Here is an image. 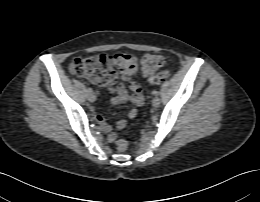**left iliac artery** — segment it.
<instances>
[{"instance_id":"obj_1","label":"left iliac artery","mask_w":260,"mask_h":202,"mask_svg":"<svg viewBox=\"0 0 260 202\" xmlns=\"http://www.w3.org/2000/svg\"><path fill=\"white\" fill-rule=\"evenodd\" d=\"M153 94H154L155 96H158V95H159V91L155 90V91H153Z\"/></svg>"}]
</instances>
